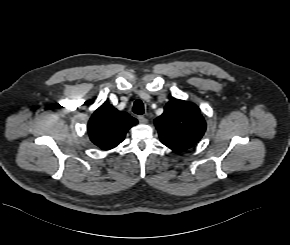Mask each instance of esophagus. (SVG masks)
<instances>
[{
  "instance_id": "esophagus-1",
  "label": "esophagus",
  "mask_w": 290,
  "mask_h": 245,
  "mask_svg": "<svg viewBox=\"0 0 290 245\" xmlns=\"http://www.w3.org/2000/svg\"><path fill=\"white\" fill-rule=\"evenodd\" d=\"M138 120L140 123L146 124L148 120L144 116H138Z\"/></svg>"
}]
</instances>
